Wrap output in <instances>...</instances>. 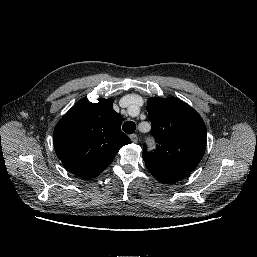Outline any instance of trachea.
<instances>
[{"label": "trachea", "instance_id": "3493384b", "mask_svg": "<svg viewBox=\"0 0 257 257\" xmlns=\"http://www.w3.org/2000/svg\"><path fill=\"white\" fill-rule=\"evenodd\" d=\"M122 129L127 134H133L136 129V125L132 121H127L123 124Z\"/></svg>", "mask_w": 257, "mask_h": 257}]
</instances>
